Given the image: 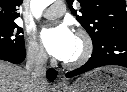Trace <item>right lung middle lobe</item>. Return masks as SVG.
<instances>
[{
    "label": "right lung middle lobe",
    "mask_w": 127,
    "mask_h": 92,
    "mask_svg": "<svg viewBox=\"0 0 127 92\" xmlns=\"http://www.w3.org/2000/svg\"><path fill=\"white\" fill-rule=\"evenodd\" d=\"M23 29L16 23L0 24V45L25 49Z\"/></svg>",
    "instance_id": "dd1d6c3e"
}]
</instances>
